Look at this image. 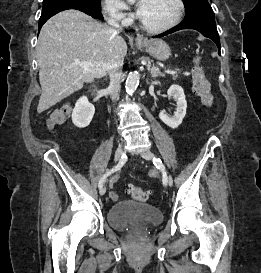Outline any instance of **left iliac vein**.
<instances>
[{
  "mask_svg": "<svg viewBox=\"0 0 261 273\" xmlns=\"http://www.w3.org/2000/svg\"><path fill=\"white\" fill-rule=\"evenodd\" d=\"M140 155H141L144 159H146V160H152L153 157H154V154H153L150 150H148V149H144L143 151H141V152H140ZM167 183H168L169 185H172V178H171V176L167 177L166 185H167Z\"/></svg>",
  "mask_w": 261,
  "mask_h": 273,
  "instance_id": "left-iliac-vein-1",
  "label": "left iliac vein"
}]
</instances>
